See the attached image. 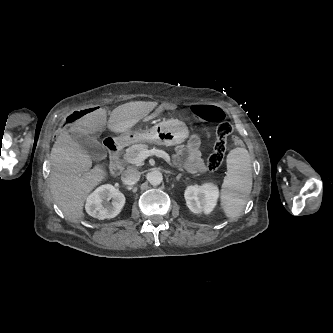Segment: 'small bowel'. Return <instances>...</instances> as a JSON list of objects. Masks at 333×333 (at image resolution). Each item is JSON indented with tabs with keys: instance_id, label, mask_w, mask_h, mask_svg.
Segmentation results:
<instances>
[{
	"instance_id": "obj_1",
	"label": "small bowel",
	"mask_w": 333,
	"mask_h": 333,
	"mask_svg": "<svg viewBox=\"0 0 333 333\" xmlns=\"http://www.w3.org/2000/svg\"><path fill=\"white\" fill-rule=\"evenodd\" d=\"M175 110V104H169L164 108L158 105L154 108V110L149 111L147 115L140 118L139 121L140 123L144 124L150 121L151 118L155 116V114L167 115L171 111ZM176 151L178 162L181 163L187 171L191 173H201L205 171V163L202 159L201 151L199 149V144L197 140H191L187 145L179 146Z\"/></svg>"
}]
</instances>
